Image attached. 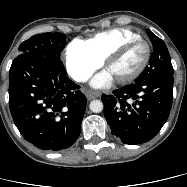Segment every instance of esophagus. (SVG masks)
<instances>
[{
	"instance_id": "obj_1",
	"label": "esophagus",
	"mask_w": 187,
	"mask_h": 187,
	"mask_svg": "<svg viewBox=\"0 0 187 187\" xmlns=\"http://www.w3.org/2000/svg\"><path fill=\"white\" fill-rule=\"evenodd\" d=\"M83 92L88 100L95 99V98L99 97V95H100L98 92L91 91L89 89H84Z\"/></svg>"
}]
</instances>
